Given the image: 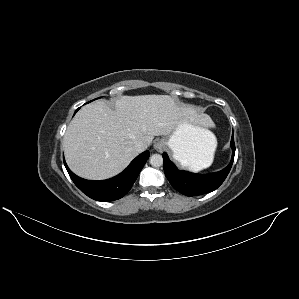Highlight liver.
I'll list each match as a JSON object with an SVG mask.
<instances>
[{"instance_id": "liver-1", "label": "liver", "mask_w": 299, "mask_h": 299, "mask_svg": "<svg viewBox=\"0 0 299 299\" xmlns=\"http://www.w3.org/2000/svg\"><path fill=\"white\" fill-rule=\"evenodd\" d=\"M183 116L169 95L122 96L116 100L115 110L102 101L87 104L64 135L67 164L86 179L113 177L138 155L136 143L148 147L154 136L170 135Z\"/></svg>"}]
</instances>
